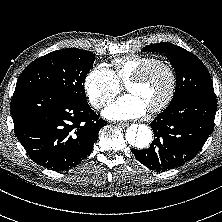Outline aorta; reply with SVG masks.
Returning <instances> with one entry per match:
<instances>
[{
    "mask_svg": "<svg viewBox=\"0 0 222 222\" xmlns=\"http://www.w3.org/2000/svg\"><path fill=\"white\" fill-rule=\"evenodd\" d=\"M125 138L127 143L136 149L147 148L152 139V130L144 124H134L126 130Z\"/></svg>",
    "mask_w": 222,
    "mask_h": 222,
    "instance_id": "1",
    "label": "aorta"
}]
</instances>
